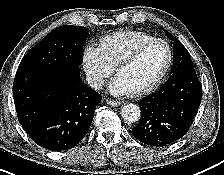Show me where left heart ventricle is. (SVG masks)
Segmentation results:
<instances>
[{
    "instance_id": "1",
    "label": "left heart ventricle",
    "mask_w": 224,
    "mask_h": 175,
    "mask_svg": "<svg viewBox=\"0 0 224 175\" xmlns=\"http://www.w3.org/2000/svg\"><path fill=\"white\" fill-rule=\"evenodd\" d=\"M167 59L164 44L154 43L148 46L129 66L122 69L118 77L131 90H137L151 83L162 70Z\"/></svg>"
}]
</instances>
